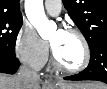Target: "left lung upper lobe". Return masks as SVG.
Wrapping results in <instances>:
<instances>
[{"label": "left lung upper lobe", "instance_id": "left-lung-upper-lobe-1", "mask_svg": "<svg viewBox=\"0 0 107 89\" xmlns=\"http://www.w3.org/2000/svg\"><path fill=\"white\" fill-rule=\"evenodd\" d=\"M89 47L107 39V0H62Z\"/></svg>", "mask_w": 107, "mask_h": 89}]
</instances>
